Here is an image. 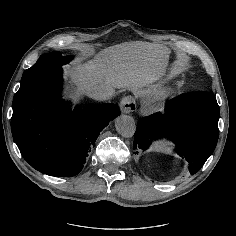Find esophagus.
Instances as JSON below:
<instances>
[{
    "label": "esophagus",
    "instance_id": "1",
    "mask_svg": "<svg viewBox=\"0 0 236 236\" xmlns=\"http://www.w3.org/2000/svg\"><path fill=\"white\" fill-rule=\"evenodd\" d=\"M121 113L128 114L136 110V102L132 96L124 97L119 104Z\"/></svg>",
    "mask_w": 236,
    "mask_h": 236
}]
</instances>
